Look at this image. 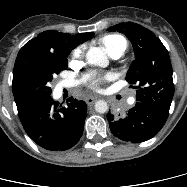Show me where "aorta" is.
<instances>
[{"label": "aorta", "instance_id": "1", "mask_svg": "<svg viewBox=\"0 0 187 187\" xmlns=\"http://www.w3.org/2000/svg\"><path fill=\"white\" fill-rule=\"evenodd\" d=\"M86 60L89 64L107 67L108 66V57L105 51L99 47H92L86 53ZM95 111L103 114L108 111V104L103 100H99L95 103Z\"/></svg>", "mask_w": 187, "mask_h": 187}]
</instances>
